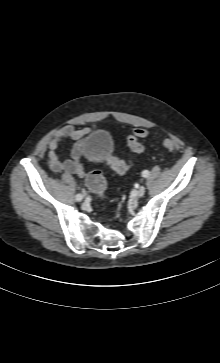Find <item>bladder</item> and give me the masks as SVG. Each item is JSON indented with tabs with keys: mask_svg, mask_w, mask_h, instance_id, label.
<instances>
[{
	"mask_svg": "<svg viewBox=\"0 0 220 363\" xmlns=\"http://www.w3.org/2000/svg\"><path fill=\"white\" fill-rule=\"evenodd\" d=\"M112 140L108 132L95 130L91 132L82 145L83 154L92 162H98L109 157Z\"/></svg>",
	"mask_w": 220,
	"mask_h": 363,
	"instance_id": "1",
	"label": "bladder"
}]
</instances>
